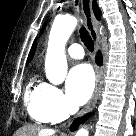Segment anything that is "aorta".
I'll list each match as a JSON object with an SVG mask.
<instances>
[{
    "mask_svg": "<svg viewBox=\"0 0 136 136\" xmlns=\"http://www.w3.org/2000/svg\"><path fill=\"white\" fill-rule=\"evenodd\" d=\"M77 26V18L71 15L58 16L52 25L45 60V72L48 80L54 84H61L67 75V60L65 45ZM75 136H89L85 128L77 131Z\"/></svg>",
    "mask_w": 136,
    "mask_h": 136,
    "instance_id": "762f6f07",
    "label": "aorta"
}]
</instances>
